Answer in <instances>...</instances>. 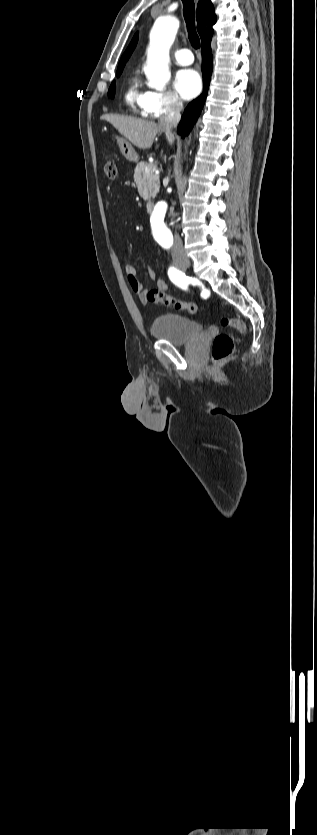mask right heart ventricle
<instances>
[{
	"label": "right heart ventricle",
	"mask_w": 317,
	"mask_h": 835,
	"mask_svg": "<svg viewBox=\"0 0 317 835\" xmlns=\"http://www.w3.org/2000/svg\"><path fill=\"white\" fill-rule=\"evenodd\" d=\"M147 92L141 89L137 76H131L125 90V101L133 112L143 111V103Z\"/></svg>",
	"instance_id": "obj_1"
}]
</instances>
